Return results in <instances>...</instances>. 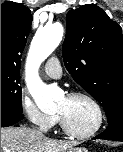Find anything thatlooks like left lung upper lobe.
I'll return each mask as SVG.
<instances>
[{"label": "left lung upper lobe", "mask_w": 123, "mask_h": 152, "mask_svg": "<svg viewBox=\"0 0 123 152\" xmlns=\"http://www.w3.org/2000/svg\"><path fill=\"white\" fill-rule=\"evenodd\" d=\"M63 59L73 79L104 108L108 123L123 113V35L97 5L67 14Z\"/></svg>", "instance_id": "left-lung-upper-lobe-1"}]
</instances>
